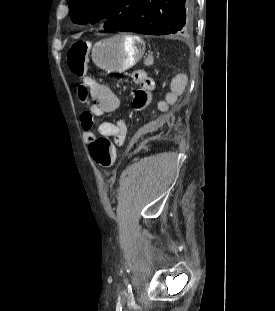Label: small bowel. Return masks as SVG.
<instances>
[{
  "label": "small bowel",
  "instance_id": "c3829d8e",
  "mask_svg": "<svg viewBox=\"0 0 275 311\" xmlns=\"http://www.w3.org/2000/svg\"><path fill=\"white\" fill-rule=\"evenodd\" d=\"M132 76L138 87L132 100L134 109L152 108L153 93L157 92L156 81L151 80L152 75L147 73V69H132ZM170 78L171 80L161 82L162 87L165 88L164 91H160V97L155 98V109L151 110V121H154V116H159L160 112H169L170 103H176L177 98H184L185 87H190V80H184V73H171ZM87 82L92 89L93 101L90 106H84V112L80 115L86 140L92 141L94 131L97 129L100 134L112 137L118 145H121L126 137L128 123L118 119L115 122L103 121L96 125L93 118V115L103 116L117 110L120 105L119 98L109 86L90 79Z\"/></svg>",
  "mask_w": 275,
  "mask_h": 311
}]
</instances>
